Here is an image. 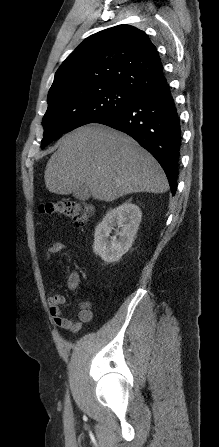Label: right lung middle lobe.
<instances>
[{"mask_svg":"<svg viewBox=\"0 0 219 447\" xmlns=\"http://www.w3.org/2000/svg\"><path fill=\"white\" fill-rule=\"evenodd\" d=\"M137 97L113 85L85 89H61L48 94V109L43 117L44 137L41 148L60 135L94 123Z\"/></svg>","mask_w":219,"mask_h":447,"instance_id":"1","label":"right lung middle lobe"}]
</instances>
